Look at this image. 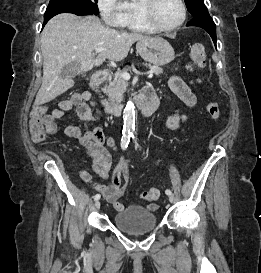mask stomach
<instances>
[{
    "instance_id": "0dacf381",
    "label": "stomach",
    "mask_w": 261,
    "mask_h": 273,
    "mask_svg": "<svg viewBox=\"0 0 261 273\" xmlns=\"http://www.w3.org/2000/svg\"><path fill=\"white\" fill-rule=\"evenodd\" d=\"M136 49L145 61L156 66L166 65L175 58L173 47L161 37L139 40Z\"/></svg>"
}]
</instances>
